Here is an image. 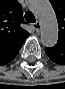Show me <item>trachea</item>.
<instances>
[{"label":"trachea","mask_w":65,"mask_h":89,"mask_svg":"<svg viewBox=\"0 0 65 89\" xmlns=\"http://www.w3.org/2000/svg\"><path fill=\"white\" fill-rule=\"evenodd\" d=\"M25 20L29 23H35L36 22L35 16L33 15V13L31 11H27L25 13Z\"/></svg>","instance_id":"trachea-1"}]
</instances>
